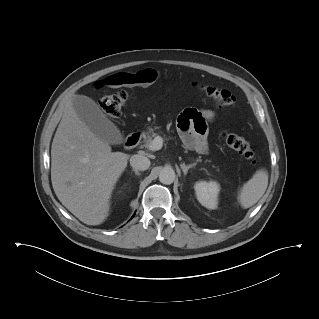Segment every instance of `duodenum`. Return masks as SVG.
<instances>
[{"instance_id":"duodenum-1","label":"duodenum","mask_w":319,"mask_h":319,"mask_svg":"<svg viewBox=\"0 0 319 319\" xmlns=\"http://www.w3.org/2000/svg\"><path fill=\"white\" fill-rule=\"evenodd\" d=\"M140 137H141V135L139 132H133V133L129 134L125 139L124 147L126 149L134 148L138 144Z\"/></svg>"}]
</instances>
